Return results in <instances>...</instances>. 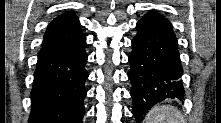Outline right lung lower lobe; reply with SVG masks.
<instances>
[{
	"mask_svg": "<svg viewBox=\"0 0 221 123\" xmlns=\"http://www.w3.org/2000/svg\"><path fill=\"white\" fill-rule=\"evenodd\" d=\"M86 37H73L43 44L38 53L31 91V123H82L85 114L84 83Z\"/></svg>",
	"mask_w": 221,
	"mask_h": 123,
	"instance_id": "98d812e1",
	"label": "right lung lower lobe"
}]
</instances>
